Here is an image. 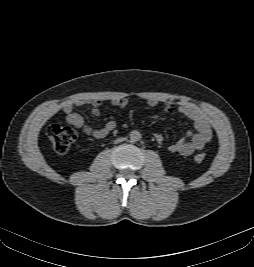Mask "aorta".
<instances>
[{
  "mask_svg": "<svg viewBox=\"0 0 254 267\" xmlns=\"http://www.w3.org/2000/svg\"><path fill=\"white\" fill-rule=\"evenodd\" d=\"M132 142L139 141L141 139V133L138 130H132L129 134Z\"/></svg>",
  "mask_w": 254,
  "mask_h": 267,
  "instance_id": "obj_1",
  "label": "aorta"
}]
</instances>
